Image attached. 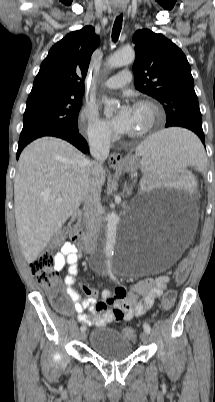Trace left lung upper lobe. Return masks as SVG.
I'll return each mask as SVG.
<instances>
[{
    "label": "left lung upper lobe",
    "instance_id": "1",
    "mask_svg": "<svg viewBox=\"0 0 215 402\" xmlns=\"http://www.w3.org/2000/svg\"><path fill=\"white\" fill-rule=\"evenodd\" d=\"M133 65L137 90L157 99L167 122L202 129V118L190 65L180 48L162 34L142 29L133 35Z\"/></svg>",
    "mask_w": 215,
    "mask_h": 402
}]
</instances>
